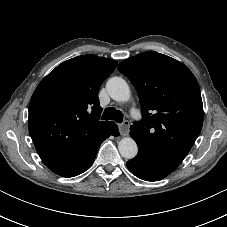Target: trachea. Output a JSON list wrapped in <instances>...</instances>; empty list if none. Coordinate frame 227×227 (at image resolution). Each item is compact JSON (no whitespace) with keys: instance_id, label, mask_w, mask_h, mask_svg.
<instances>
[{"instance_id":"obj_1","label":"trachea","mask_w":227,"mask_h":227,"mask_svg":"<svg viewBox=\"0 0 227 227\" xmlns=\"http://www.w3.org/2000/svg\"><path fill=\"white\" fill-rule=\"evenodd\" d=\"M102 119L114 120L117 123H122L123 121V113L119 110H116L113 107L106 108L103 112Z\"/></svg>"}]
</instances>
